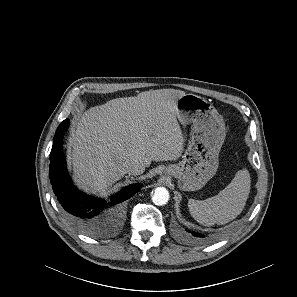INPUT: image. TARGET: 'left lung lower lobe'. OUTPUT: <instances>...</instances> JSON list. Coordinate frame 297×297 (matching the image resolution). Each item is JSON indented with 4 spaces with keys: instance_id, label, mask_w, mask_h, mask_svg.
<instances>
[{
    "instance_id": "obj_1",
    "label": "left lung lower lobe",
    "mask_w": 297,
    "mask_h": 297,
    "mask_svg": "<svg viewBox=\"0 0 297 297\" xmlns=\"http://www.w3.org/2000/svg\"><path fill=\"white\" fill-rule=\"evenodd\" d=\"M187 232H189L190 234H187V233H182V234L185 235L188 239H191V240H202L203 238H205V235H203L201 233L191 232L189 230H187Z\"/></svg>"
}]
</instances>
